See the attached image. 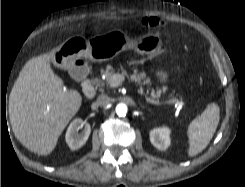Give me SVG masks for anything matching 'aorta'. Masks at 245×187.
<instances>
[{
	"instance_id": "aorta-1",
	"label": "aorta",
	"mask_w": 245,
	"mask_h": 187,
	"mask_svg": "<svg viewBox=\"0 0 245 187\" xmlns=\"http://www.w3.org/2000/svg\"><path fill=\"white\" fill-rule=\"evenodd\" d=\"M127 106L124 103H120L116 106V112L119 116H125L127 114Z\"/></svg>"
}]
</instances>
